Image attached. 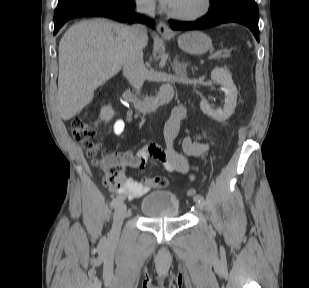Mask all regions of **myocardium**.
Instances as JSON below:
<instances>
[{"label": "myocardium", "instance_id": "1", "mask_svg": "<svg viewBox=\"0 0 309 288\" xmlns=\"http://www.w3.org/2000/svg\"><path fill=\"white\" fill-rule=\"evenodd\" d=\"M211 6H212V0H203L202 8L195 13H180L172 10H169L168 13L170 16L179 20L194 21L206 16L211 10Z\"/></svg>", "mask_w": 309, "mask_h": 288}]
</instances>
